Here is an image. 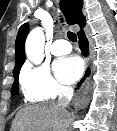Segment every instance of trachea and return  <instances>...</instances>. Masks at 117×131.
<instances>
[{
	"mask_svg": "<svg viewBox=\"0 0 117 131\" xmlns=\"http://www.w3.org/2000/svg\"><path fill=\"white\" fill-rule=\"evenodd\" d=\"M61 22H63L62 19H61ZM67 36H68L70 41H72V42H76L77 41V36H76L75 33L69 31V32H67Z\"/></svg>",
	"mask_w": 117,
	"mask_h": 131,
	"instance_id": "trachea-1",
	"label": "trachea"
}]
</instances>
